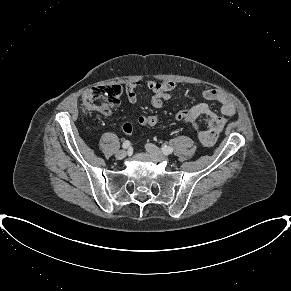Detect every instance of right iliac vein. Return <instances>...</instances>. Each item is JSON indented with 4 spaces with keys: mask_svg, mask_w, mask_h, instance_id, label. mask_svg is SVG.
<instances>
[{
    "mask_svg": "<svg viewBox=\"0 0 291 291\" xmlns=\"http://www.w3.org/2000/svg\"><path fill=\"white\" fill-rule=\"evenodd\" d=\"M127 155V151L126 150H119L115 157L118 159V160H122L123 158H125Z\"/></svg>",
    "mask_w": 291,
    "mask_h": 291,
    "instance_id": "right-iliac-vein-1",
    "label": "right iliac vein"
}]
</instances>
